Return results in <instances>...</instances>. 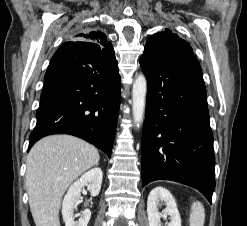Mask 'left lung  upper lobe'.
<instances>
[{
    "instance_id": "5c2ea615",
    "label": "left lung upper lobe",
    "mask_w": 247,
    "mask_h": 226,
    "mask_svg": "<svg viewBox=\"0 0 247 226\" xmlns=\"http://www.w3.org/2000/svg\"><path fill=\"white\" fill-rule=\"evenodd\" d=\"M144 52L168 57L194 56L191 46L167 29L150 36Z\"/></svg>"
}]
</instances>
